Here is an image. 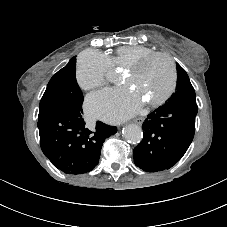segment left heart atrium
I'll use <instances>...</instances> for the list:
<instances>
[{
  "label": "left heart atrium",
  "mask_w": 227,
  "mask_h": 227,
  "mask_svg": "<svg viewBox=\"0 0 227 227\" xmlns=\"http://www.w3.org/2000/svg\"><path fill=\"white\" fill-rule=\"evenodd\" d=\"M142 104L136 93L126 88H112L90 95L86 100V111L108 122H120L136 114Z\"/></svg>",
  "instance_id": "1"
}]
</instances>
